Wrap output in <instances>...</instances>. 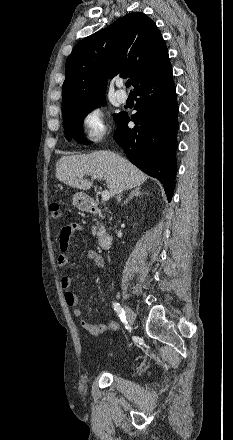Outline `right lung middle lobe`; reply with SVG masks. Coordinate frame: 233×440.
Returning <instances> with one entry per match:
<instances>
[{
    "label": "right lung middle lobe",
    "instance_id": "right-lung-middle-lobe-1",
    "mask_svg": "<svg viewBox=\"0 0 233 440\" xmlns=\"http://www.w3.org/2000/svg\"><path fill=\"white\" fill-rule=\"evenodd\" d=\"M105 104V98H98L62 108L63 124L66 138L71 141V138L77 140L81 144H90L91 142L84 139L82 124L86 115L94 108ZM123 112L114 116L118 124Z\"/></svg>",
    "mask_w": 233,
    "mask_h": 440
}]
</instances>
